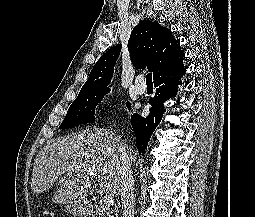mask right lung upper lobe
<instances>
[{
  "label": "right lung upper lobe",
  "mask_w": 255,
  "mask_h": 217,
  "mask_svg": "<svg viewBox=\"0 0 255 217\" xmlns=\"http://www.w3.org/2000/svg\"><path fill=\"white\" fill-rule=\"evenodd\" d=\"M128 50L132 64L136 68L147 67L153 72L154 79L184 57L180 42L173 37L171 30L150 20H143L134 27L128 40ZM120 51L121 45H116L100 57L79 94L110 90L108 85Z\"/></svg>",
  "instance_id": "obj_1"
}]
</instances>
